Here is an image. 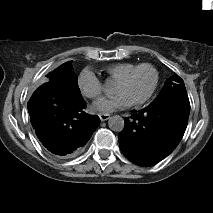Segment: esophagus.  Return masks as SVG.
Segmentation results:
<instances>
[{
    "mask_svg": "<svg viewBox=\"0 0 213 213\" xmlns=\"http://www.w3.org/2000/svg\"><path fill=\"white\" fill-rule=\"evenodd\" d=\"M99 117H100L101 121H106L109 119L110 115L101 113V114H99Z\"/></svg>",
    "mask_w": 213,
    "mask_h": 213,
    "instance_id": "obj_1",
    "label": "esophagus"
}]
</instances>
